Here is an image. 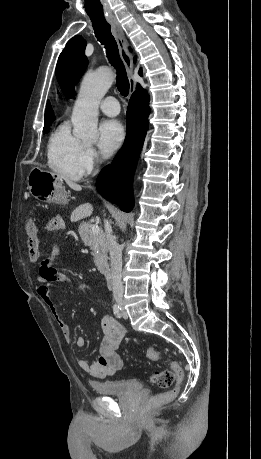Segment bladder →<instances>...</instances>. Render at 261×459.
<instances>
[{
	"label": "bladder",
	"mask_w": 261,
	"mask_h": 459,
	"mask_svg": "<svg viewBox=\"0 0 261 459\" xmlns=\"http://www.w3.org/2000/svg\"><path fill=\"white\" fill-rule=\"evenodd\" d=\"M93 391L100 395L126 396L141 391L143 385L137 379H115L101 382H92Z\"/></svg>",
	"instance_id": "bladder-1"
}]
</instances>
